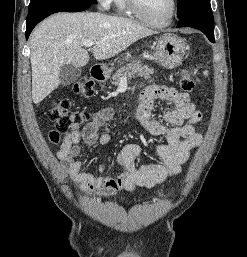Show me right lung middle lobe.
I'll return each instance as SVG.
<instances>
[{"label":"right lung middle lobe","instance_id":"right-lung-middle-lobe-1","mask_svg":"<svg viewBox=\"0 0 247 257\" xmlns=\"http://www.w3.org/2000/svg\"><path fill=\"white\" fill-rule=\"evenodd\" d=\"M53 2H75V3H88L92 4L95 0H30L29 9L39 6L41 4Z\"/></svg>","mask_w":247,"mask_h":257}]
</instances>
